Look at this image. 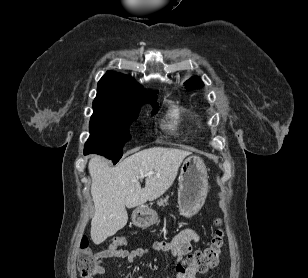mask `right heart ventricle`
Wrapping results in <instances>:
<instances>
[{
	"label": "right heart ventricle",
	"mask_w": 308,
	"mask_h": 278,
	"mask_svg": "<svg viewBox=\"0 0 308 278\" xmlns=\"http://www.w3.org/2000/svg\"><path fill=\"white\" fill-rule=\"evenodd\" d=\"M164 126L169 130L190 129L192 123L179 106L172 105L166 113Z\"/></svg>",
	"instance_id": "1"
}]
</instances>
